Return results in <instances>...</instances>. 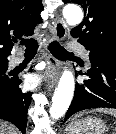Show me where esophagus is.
<instances>
[{"instance_id": "1", "label": "esophagus", "mask_w": 116, "mask_h": 134, "mask_svg": "<svg viewBox=\"0 0 116 134\" xmlns=\"http://www.w3.org/2000/svg\"><path fill=\"white\" fill-rule=\"evenodd\" d=\"M53 34L56 40H63L66 37L67 30L64 22L57 17L54 21ZM61 63L53 56H50V64L48 67L49 78L47 88L50 91L59 79Z\"/></svg>"}]
</instances>
